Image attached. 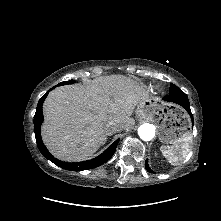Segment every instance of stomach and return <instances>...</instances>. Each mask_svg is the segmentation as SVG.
Wrapping results in <instances>:
<instances>
[{
    "instance_id": "1",
    "label": "stomach",
    "mask_w": 221,
    "mask_h": 221,
    "mask_svg": "<svg viewBox=\"0 0 221 221\" xmlns=\"http://www.w3.org/2000/svg\"><path fill=\"white\" fill-rule=\"evenodd\" d=\"M139 119L154 121L159 130V140L164 144H173L190 127L188 115L177 105L148 97L138 104L136 110Z\"/></svg>"
}]
</instances>
